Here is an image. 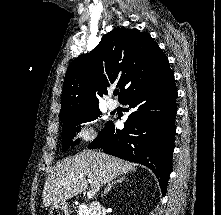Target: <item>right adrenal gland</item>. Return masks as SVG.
<instances>
[{
	"mask_svg": "<svg viewBox=\"0 0 221 215\" xmlns=\"http://www.w3.org/2000/svg\"><path fill=\"white\" fill-rule=\"evenodd\" d=\"M124 180H125V177H121L115 180L114 182L109 183L104 190L103 196H105L116 184H121Z\"/></svg>",
	"mask_w": 221,
	"mask_h": 215,
	"instance_id": "right-adrenal-gland-1",
	"label": "right adrenal gland"
}]
</instances>
